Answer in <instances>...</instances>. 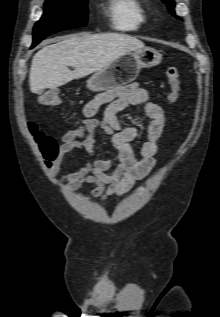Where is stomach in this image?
Returning <instances> with one entry per match:
<instances>
[{"mask_svg": "<svg viewBox=\"0 0 220 317\" xmlns=\"http://www.w3.org/2000/svg\"><path fill=\"white\" fill-rule=\"evenodd\" d=\"M161 60L162 55L148 47L128 52L116 59L106 69L95 72L87 80V88L100 92L130 83L137 78L142 68L154 67Z\"/></svg>", "mask_w": 220, "mask_h": 317, "instance_id": "obj_1", "label": "stomach"}]
</instances>
